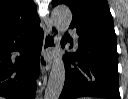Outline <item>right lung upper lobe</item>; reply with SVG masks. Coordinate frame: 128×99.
Returning a JSON list of instances; mask_svg holds the SVG:
<instances>
[{
	"mask_svg": "<svg viewBox=\"0 0 128 99\" xmlns=\"http://www.w3.org/2000/svg\"><path fill=\"white\" fill-rule=\"evenodd\" d=\"M33 0H0V35L37 17Z\"/></svg>",
	"mask_w": 128,
	"mask_h": 99,
	"instance_id": "cb5924a9",
	"label": "right lung upper lobe"
}]
</instances>
